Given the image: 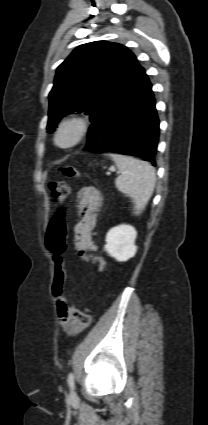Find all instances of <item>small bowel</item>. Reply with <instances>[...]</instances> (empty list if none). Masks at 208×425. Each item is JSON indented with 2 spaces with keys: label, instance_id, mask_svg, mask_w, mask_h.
<instances>
[{
  "label": "small bowel",
  "instance_id": "obj_1",
  "mask_svg": "<svg viewBox=\"0 0 208 425\" xmlns=\"http://www.w3.org/2000/svg\"><path fill=\"white\" fill-rule=\"evenodd\" d=\"M78 200L81 220L75 227V247L95 251L96 246L92 241L91 232L95 226L96 211L101 201L100 192L94 187H85L80 190ZM56 308L58 321L68 334L75 335L83 329L71 317L67 298H56Z\"/></svg>",
  "mask_w": 208,
  "mask_h": 425
}]
</instances>
